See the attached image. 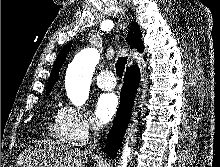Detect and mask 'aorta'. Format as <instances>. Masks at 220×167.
I'll return each instance as SVG.
<instances>
[{
	"mask_svg": "<svg viewBox=\"0 0 220 167\" xmlns=\"http://www.w3.org/2000/svg\"><path fill=\"white\" fill-rule=\"evenodd\" d=\"M100 55L94 48L79 52L66 73V91L71 102L81 107L88 99L93 72L98 64ZM131 157L128 143L124 146L119 167H127Z\"/></svg>",
	"mask_w": 220,
	"mask_h": 167,
	"instance_id": "aorta-1",
	"label": "aorta"
}]
</instances>
